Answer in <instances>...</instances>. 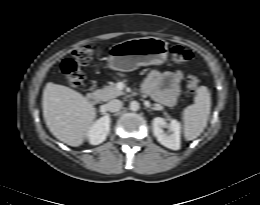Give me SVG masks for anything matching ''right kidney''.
<instances>
[{"label":"right kidney","instance_id":"obj_1","mask_svg":"<svg viewBox=\"0 0 260 205\" xmlns=\"http://www.w3.org/2000/svg\"><path fill=\"white\" fill-rule=\"evenodd\" d=\"M111 120L109 116H103L98 119L88 132V140L92 145H98L106 140L110 132Z\"/></svg>","mask_w":260,"mask_h":205}]
</instances>
